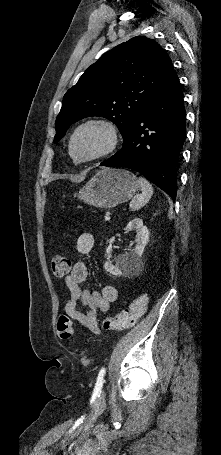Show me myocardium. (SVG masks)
<instances>
[{
	"label": "myocardium",
	"instance_id": "myocardium-1",
	"mask_svg": "<svg viewBox=\"0 0 221 455\" xmlns=\"http://www.w3.org/2000/svg\"><path fill=\"white\" fill-rule=\"evenodd\" d=\"M88 128H97L102 130L106 135V145L98 153L85 157L79 158L76 156L74 151V145L77 137L80 133ZM119 143V131L114 122L106 118H90L81 122L73 131L69 141V151L74 161L78 163L90 162L101 159L110 153H112Z\"/></svg>",
	"mask_w": 221,
	"mask_h": 455
}]
</instances>
